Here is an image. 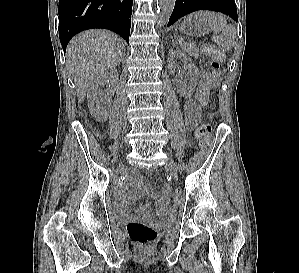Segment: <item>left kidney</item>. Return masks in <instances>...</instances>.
Returning <instances> with one entry per match:
<instances>
[{
	"label": "left kidney",
	"mask_w": 299,
	"mask_h": 273,
	"mask_svg": "<svg viewBox=\"0 0 299 273\" xmlns=\"http://www.w3.org/2000/svg\"><path fill=\"white\" fill-rule=\"evenodd\" d=\"M177 59L184 63L185 70L189 75L188 83H181L179 85L180 94L188 97L195 90L199 79V71L190 57L177 49H170L168 52V70L170 74H174L177 71Z\"/></svg>",
	"instance_id": "left-kidney-1"
}]
</instances>
